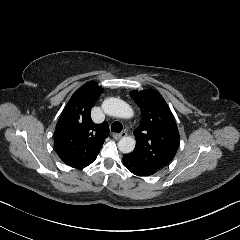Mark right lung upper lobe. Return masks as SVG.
<instances>
[{"label": "right lung upper lobe", "instance_id": "obj_1", "mask_svg": "<svg viewBox=\"0 0 240 240\" xmlns=\"http://www.w3.org/2000/svg\"><path fill=\"white\" fill-rule=\"evenodd\" d=\"M101 92L96 82L85 84L72 95L58 119L54 146L61 160L71 167L82 169L90 165L109 135L106 122L94 124L90 117Z\"/></svg>", "mask_w": 240, "mask_h": 240}]
</instances>
